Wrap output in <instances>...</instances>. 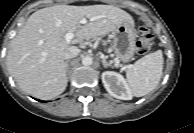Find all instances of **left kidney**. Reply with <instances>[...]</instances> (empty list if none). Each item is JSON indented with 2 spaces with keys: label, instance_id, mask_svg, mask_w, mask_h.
I'll list each match as a JSON object with an SVG mask.
<instances>
[{
  "label": "left kidney",
  "instance_id": "left-kidney-1",
  "mask_svg": "<svg viewBox=\"0 0 194 133\" xmlns=\"http://www.w3.org/2000/svg\"><path fill=\"white\" fill-rule=\"evenodd\" d=\"M102 82L110 95L121 100H131L132 92L124 77L113 71L102 73Z\"/></svg>",
  "mask_w": 194,
  "mask_h": 133
}]
</instances>
